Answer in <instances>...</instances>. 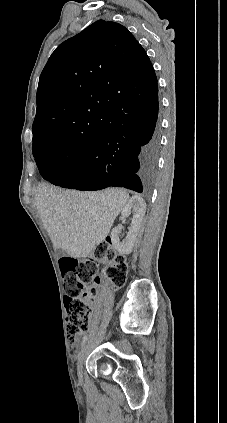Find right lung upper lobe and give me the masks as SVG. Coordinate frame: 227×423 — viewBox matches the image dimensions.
<instances>
[{"mask_svg":"<svg viewBox=\"0 0 227 423\" xmlns=\"http://www.w3.org/2000/svg\"><path fill=\"white\" fill-rule=\"evenodd\" d=\"M157 78L145 50L119 23L99 20L64 41L40 76L33 142L59 138L74 147L91 146L107 128L122 127L108 109L147 99Z\"/></svg>","mask_w":227,"mask_h":423,"instance_id":"1","label":"right lung upper lobe"}]
</instances>
